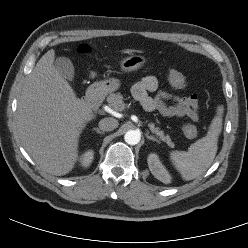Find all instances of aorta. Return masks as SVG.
Masks as SVG:
<instances>
[{
  "instance_id": "aorta-1",
  "label": "aorta",
  "mask_w": 248,
  "mask_h": 248,
  "mask_svg": "<svg viewBox=\"0 0 248 248\" xmlns=\"http://www.w3.org/2000/svg\"><path fill=\"white\" fill-rule=\"evenodd\" d=\"M124 140L129 145H136V144H138L140 142L141 135L136 130H129L124 135Z\"/></svg>"
}]
</instances>
